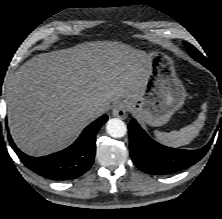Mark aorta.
<instances>
[{"instance_id":"obj_1","label":"aorta","mask_w":222,"mask_h":219,"mask_svg":"<svg viewBox=\"0 0 222 219\" xmlns=\"http://www.w3.org/2000/svg\"><path fill=\"white\" fill-rule=\"evenodd\" d=\"M106 131L113 138H121L125 136L127 127L122 120L118 118H112L109 119L106 123Z\"/></svg>"}]
</instances>
